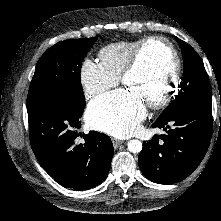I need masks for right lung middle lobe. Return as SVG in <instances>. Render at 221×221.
Returning <instances> with one entry per match:
<instances>
[{"label": "right lung middle lobe", "instance_id": "dd1d6c3e", "mask_svg": "<svg viewBox=\"0 0 221 221\" xmlns=\"http://www.w3.org/2000/svg\"><path fill=\"white\" fill-rule=\"evenodd\" d=\"M96 40L94 37L61 41L42 55L29 88L27 111L56 98H67L78 108H85L80 70Z\"/></svg>", "mask_w": 221, "mask_h": 221}]
</instances>
